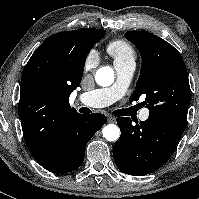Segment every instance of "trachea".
Returning <instances> with one entry per match:
<instances>
[{"label":"trachea","mask_w":199,"mask_h":199,"mask_svg":"<svg viewBox=\"0 0 199 199\" xmlns=\"http://www.w3.org/2000/svg\"><path fill=\"white\" fill-rule=\"evenodd\" d=\"M79 112H81V113H90L91 110H89L87 107H82V108L79 109ZM113 114L115 116H122V111L121 110H117V111L113 112Z\"/></svg>","instance_id":"obj_1"}]
</instances>
